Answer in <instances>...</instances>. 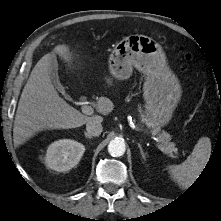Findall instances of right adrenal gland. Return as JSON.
<instances>
[{
    "instance_id": "2a0ac1e0",
    "label": "right adrenal gland",
    "mask_w": 221,
    "mask_h": 221,
    "mask_svg": "<svg viewBox=\"0 0 221 221\" xmlns=\"http://www.w3.org/2000/svg\"><path fill=\"white\" fill-rule=\"evenodd\" d=\"M84 135H85V137H87V138H89V139H91L92 138V136H90L87 132H85L84 131Z\"/></svg>"
}]
</instances>
